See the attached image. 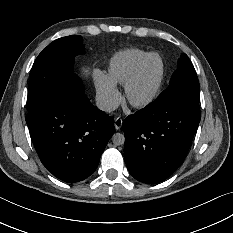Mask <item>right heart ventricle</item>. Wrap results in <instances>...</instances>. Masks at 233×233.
Returning <instances> with one entry per match:
<instances>
[{
    "label": "right heart ventricle",
    "mask_w": 233,
    "mask_h": 233,
    "mask_svg": "<svg viewBox=\"0 0 233 233\" xmlns=\"http://www.w3.org/2000/svg\"><path fill=\"white\" fill-rule=\"evenodd\" d=\"M150 53L138 48L115 53L107 64V78L115 85L124 86L126 80Z\"/></svg>",
    "instance_id": "e07e8e85"
}]
</instances>
